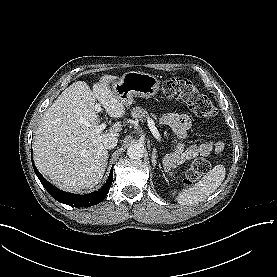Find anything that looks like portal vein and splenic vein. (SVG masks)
I'll return each mask as SVG.
<instances>
[{
	"label": "portal vein and splenic vein",
	"mask_w": 277,
	"mask_h": 277,
	"mask_svg": "<svg viewBox=\"0 0 277 277\" xmlns=\"http://www.w3.org/2000/svg\"><path fill=\"white\" fill-rule=\"evenodd\" d=\"M95 109H96L97 112H100V111H101L100 105L97 104V105L95 106ZM147 122H148L149 129H150V131L152 132L153 136H154L158 141H161L160 133L158 132V130H157L156 126H155L154 121H153L151 118H148ZM105 128H106V124H105V123H102V124L98 125L96 131H97V133H100V132H102Z\"/></svg>",
	"instance_id": "18ae733b"
}]
</instances>
